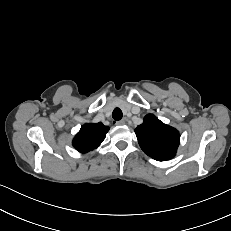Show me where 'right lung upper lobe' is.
<instances>
[{
    "mask_svg": "<svg viewBox=\"0 0 231 231\" xmlns=\"http://www.w3.org/2000/svg\"><path fill=\"white\" fill-rule=\"evenodd\" d=\"M109 127L99 123H86L73 139V146L81 153L97 148L105 139Z\"/></svg>",
    "mask_w": 231,
    "mask_h": 231,
    "instance_id": "obj_1",
    "label": "right lung upper lobe"
}]
</instances>
